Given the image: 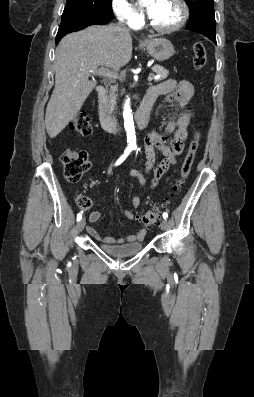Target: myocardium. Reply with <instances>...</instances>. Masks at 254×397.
<instances>
[{
	"label": "myocardium",
	"instance_id": "1",
	"mask_svg": "<svg viewBox=\"0 0 254 397\" xmlns=\"http://www.w3.org/2000/svg\"><path fill=\"white\" fill-rule=\"evenodd\" d=\"M174 1L178 4V6L181 9V16H180L179 20L171 26L164 27V26L156 25L152 21V19L149 17L148 24L152 29H154L155 31L161 32V33H170V32L177 31L178 29H180L181 27L184 26V24L186 23L188 16H189L188 6L183 0H174Z\"/></svg>",
	"mask_w": 254,
	"mask_h": 397
}]
</instances>
